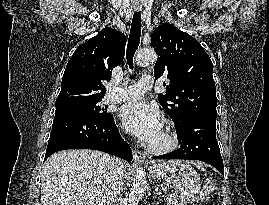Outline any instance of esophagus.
I'll use <instances>...</instances> for the list:
<instances>
[{
    "instance_id": "1",
    "label": "esophagus",
    "mask_w": 269,
    "mask_h": 205,
    "mask_svg": "<svg viewBox=\"0 0 269 205\" xmlns=\"http://www.w3.org/2000/svg\"><path fill=\"white\" fill-rule=\"evenodd\" d=\"M140 7H135V10L136 11H140ZM146 155L145 153H143L142 151L140 150H134V153H133V160L135 163H143L144 162V159H145Z\"/></svg>"
}]
</instances>
